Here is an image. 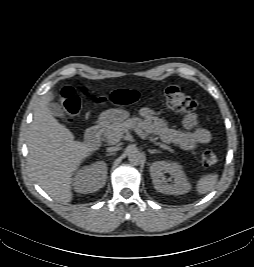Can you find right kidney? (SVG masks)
<instances>
[{"label": "right kidney", "mask_w": 254, "mask_h": 267, "mask_svg": "<svg viewBox=\"0 0 254 267\" xmlns=\"http://www.w3.org/2000/svg\"><path fill=\"white\" fill-rule=\"evenodd\" d=\"M106 179L107 165L104 161H98L78 170L73 186L76 192L93 193L104 187Z\"/></svg>", "instance_id": "obj_1"}]
</instances>
